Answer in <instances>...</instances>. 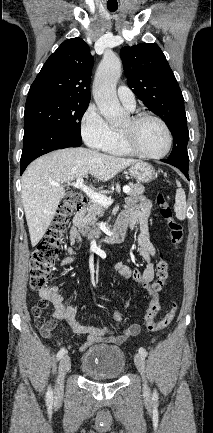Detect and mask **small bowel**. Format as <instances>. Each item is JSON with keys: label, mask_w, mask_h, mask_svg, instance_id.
<instances>
[{"label": "small bowel", "mask_w": 213, "mask_h": 433, "mask_svg": "<svg viewBox=\"0 0 213 433\" xmlns=\"http://www.w3.org/2000/svg\"><path fill=\"white\" fill-rule=\"evenodd\" d=\"M151 211V203L145 198H131L127 201L125 210L120 214L116 226H126L130 229L138 226V246L139 254L146 262L144 270L130 268L123 263L115 265L116 271L125 278H132L139 283L148 293L152 296V301L146 313V320L153 319L159 310V295L158 291L154 288L155 278V265L154 258L156 256V249L151 241L150 231L148 227V218ZM81 241V234L77 227H72L69 232L68 246L66 251L68 257L62 260L63 265H71L77 259V251L74 249V244ZM40 296L46 299L54 309L53 315L56 319L66 321L72 328L73 332L86 336V341L83 344H78L79 350L84 351L89 346L98 342H109L120 344L125 340V336H117L110 328H98L89 324L80 323L76 320V308L64 302L63 296L56 286H50L40 290ZM115 318V313L113 319ZM123 316H121L122 320ZM56 328V321L49 320L46 327L40 328L41 334L45 338H51L54 329ZM136 335L140 327L132 325L129 329ZM72 346H69L71 348Z\"/></svg>", "instance_id": "c3829d8e"}]
</instances>
